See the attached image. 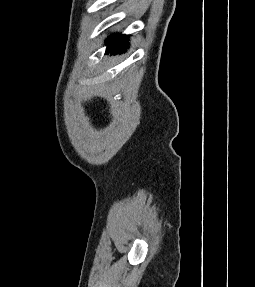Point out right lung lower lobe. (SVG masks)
<instances>
[{
  "instance_id": "right-lung-lower-lobe-1",
  "label": "right lung lower lobe",
  "mask_w": 255,
  "mask_h": 287,
  "mask_svg": "<svg viewBox=\"0 0 255 287\" xmlns=\"http://www.w3.org/2000/svg\"><path fill=\"white\" fill-rule=\"evenodd\" d=\"M107 52L106 53H119L123 52L128 48V36L126 35H112L107 40Z\"/></svg>"
}]
</instances>
